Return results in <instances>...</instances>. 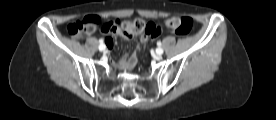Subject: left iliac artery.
Instances as JSON below:
<instances>
[{"instance_id":"44dca946","label":"left iliac artery","mask_w":276,"mask_h":120,"mask_svg":"<svg viewBox=\"0 0 276 120\" xmlns=\"http://www.w3.org/2000/svg\"><path fill=\"white\" fill-rule=\"evenodd\" d=\"M157 45H158V46H161L162 44H161V42H160V41H158V42H157Z\"/></svg>"}]
</instances>
